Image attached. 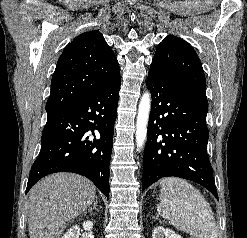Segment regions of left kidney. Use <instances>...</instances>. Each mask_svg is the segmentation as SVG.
Segmentation results:
<instances>
[{"instance_id": "5707ae66", "label": "left kidney", "mask_w": 247, "mask_h": 238, "mask_svg": "<svg viewBox=\"0 0 247 238\" xmlns=\"http://www.w3.org/2000/svg\"><path fill=\"white\" fill-rule=\"evenodd\" d=\"M152 238H182V237L170 229H165L162 226H158L154 229Z\"/></svg>"}]
</instances>
